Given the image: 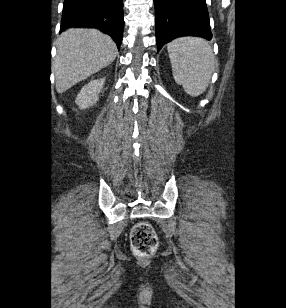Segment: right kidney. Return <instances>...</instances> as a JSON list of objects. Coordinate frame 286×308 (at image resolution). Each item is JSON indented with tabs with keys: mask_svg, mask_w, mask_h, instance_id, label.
I'll return each instance as SVG.
<instances>
[{
	"mask_svg": "<svg viewBox=\"0 0 286 308\" xmlns=\"http://www.w3.org/2000/svg\"><path fill=\"white\" fill-rule=\"evenodd\" d=\"M105 79L92 80L86 84L76 97V104L85 109L94 105L99 99V93L102 91Z\"/></svg>",
	"mask_w": 286,
	"mask_h": 308,
	"instance_id": "ca27d5eb",
	"label": "right kidney"
}]
</instances>
